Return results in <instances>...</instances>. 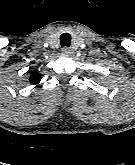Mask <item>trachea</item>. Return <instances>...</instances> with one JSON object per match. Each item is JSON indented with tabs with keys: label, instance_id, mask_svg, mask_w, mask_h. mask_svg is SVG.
<instances>
[{
	"label": "trachea",
	"instance_id": "trachea-1",
	"mask_svg": "<svg viewBox=\"0 0 135 165\" xmlns=\"http://www.w3.org/2000/svg\"><path fill=\"white\" fill-rule=\"evenodd\" d=\"M60 44L62 47H69L71 45V35L69 33H63L60 36Z\"/></svg>",
	"mask_w": 135,
	"mask_h": 165
}]
</instances>
